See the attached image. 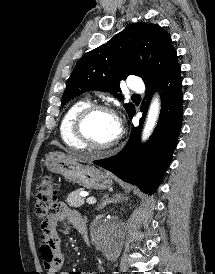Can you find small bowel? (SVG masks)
<instances>
[{"label": "small bowel", "instance_id": "1", "mask_svg": "<svg viewBox=\"0 0 215 274\" xmlns=\"http://www.w3.org/2000/svg\"><path fill=\"white\" fill-rule=\"evenodd\" d=\"M59 222H66L74 226L79 232L82 228H87L82 216L77 211L71 210L65 203H60L56 213L42 222L39 252L47 274H69L61 271L64 264V255L61 249V238L57 231ZM77 274L96 273L78 272Z\"/></svg>", "mask_w": 215, "mask_h": 274}]
</instances>
